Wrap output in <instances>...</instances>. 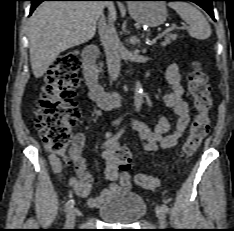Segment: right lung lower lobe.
I'll list each match as a JSON object with an SVG mask.
<instances>
[{
    "mask_svg": "<svg viewBox=\"0 0 234 231\" xmlns=\"http://www.w3.org/2000/svg\"><path fill=\"white\" fill-rule=\"evenodd\" d=\"M30 1L32 3L30 14H32L34 9L43 1H97V0H30ZM112 1H117V0H112Z\"/></svg>",
    "mask_w": 234,
    "mask_h": 231,
    "instance_id": "obj_1",
    "label": "right lung lower lobe"
}]
</instances>
